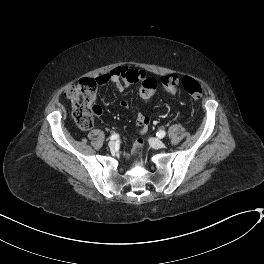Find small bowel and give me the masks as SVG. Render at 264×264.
Masks as SVG:
<instances>
[{
	"instance_id": "c3829d8e",
	"label": "small bowel",
	"mask_w": 264,
	"mask_h": 264,
	"mask_svg": "<svg viewBox=\"0 0 264 264\" xmlns=\"http://www.w3.org/2000/svg\"><path fill=\"white\" fill-rule=\"evenodd\" d=\"M148 74L139 68L122 67L112 70L110 73L99 76L96 78V82L99 85H105L109 82L113 83L118 91L123 92L129 83H140L146 79ZM119 105L123 109H127L129 104L125 100H120ZM98 113L101 112V108L97 107ZM136 131H145L149 124L150 118L144 113L141 108L136 109Z\"/></svg>"
}]
</instances>
